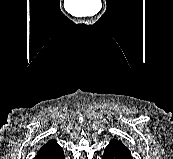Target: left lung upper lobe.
I'll return each mask as SVG.
<instances>
[{
  "label": "left lung upper lobe",
  "instance_id": "obj_1",
  "mask_svg": "<svg viewBox=\"0 0 173 159\" xmlns=\"http://www.w3.org/2000/svg\"><path fill=\"white\" fill-rule=\"evenodd\" d=\"M111 142H114V143H116V144H119V145H121V146H124V145L122 144L121 141H118V140H115V139H112ZM124 147H125V146H124Z\"/></svg>",
  "mask_w": 173,
  "mask_h": 159
}]
</instances>
